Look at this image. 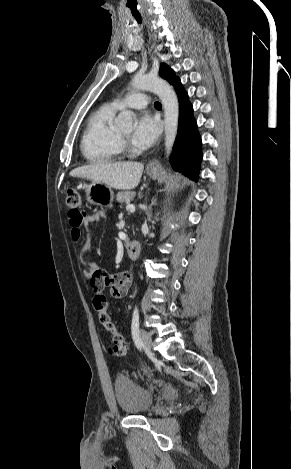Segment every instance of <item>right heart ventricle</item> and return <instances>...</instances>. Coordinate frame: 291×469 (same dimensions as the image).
<instances>
[{
	"label": "right heart ventricle",
	"instance_id": "obj_1",
	"mask_svg": "<svg viewBox=\"0 0 291 469\" xmlns=\"http://www.w3.org/2000/svg\"><path fill=\"white\" fill-rule=\"evenodd\" d=\"M117 110L113 104H105L90 116L80 143L82 155L87 161L103 163L119 158L122 142L112 126Z\"/></svg>",
	"mask_w": 291,
	"mask_h": 469
}]
</instances>
